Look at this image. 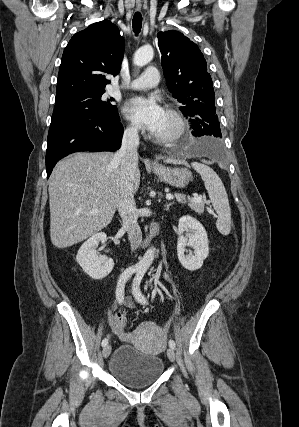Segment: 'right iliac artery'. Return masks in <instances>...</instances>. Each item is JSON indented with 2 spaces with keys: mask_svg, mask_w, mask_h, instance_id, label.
<instances>
[{
  "mask_svg": "<svg viewBox=\"0 0 299 427\" xmlns=\"http://www.w3.org/2000/svg\"><path fill=\"white\" fill-rule=\"evenodd\" d=\"M139 270L138 267L136 266H132L127 268L120 276L118 283H117V287H116V299L117 302L119 304H122L123 299H124V288H125V284L128 280V278L135 272H137ZM108 344V339L105 338L102 341V346H106Z\"/></svg>",
  "mask_w": 299,
  "mask_h": 427,
  "instance_id": "right-iliac-artery-1",
  "label": "right iliac artery"
}]
</instances>
